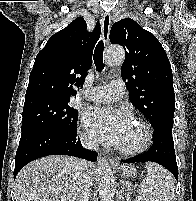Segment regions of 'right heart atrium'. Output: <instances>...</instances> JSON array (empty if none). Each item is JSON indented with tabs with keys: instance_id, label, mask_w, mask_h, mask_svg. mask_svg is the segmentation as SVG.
<instances>
[{
	"instance_id": "d8ad5b80",
	"label": "right heart atrium",
	"mask_w": 196,
	"mask_h": 201,
	"mask_svg": "<svg viewBox=\"0 0 196 201\" xmlns=\"http://www.w3.org/2000/svg\"><path fill=\"white\" fill-rule=\"evenodd\" d=\"M81 139L83 141L84 144L88 145V146H92L94 145V140L92 138H90L88 135L86 134H82L81 135Z\"/></svg>"
}]
</instances>
